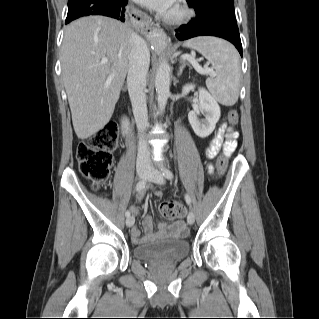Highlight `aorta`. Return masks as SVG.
I'll list each match as a JSON object with an SVG mask.
<instances>
[{"label": "aorta", "instance_id": "aorta-1", "mask_svg": "<svg viewBox=\"0 0 319 319\" xmlns=\"http://www.w3.org/2000/svg\"><path fill=\"white\" fill-rule=\"evenodd\" d=\"M158 106L163 110L170 94V66L167 61H162L157 69L155 78Z\"/></svg>", "mask_w": 319, "mask_h": 319}]
</instances>
